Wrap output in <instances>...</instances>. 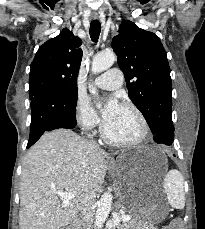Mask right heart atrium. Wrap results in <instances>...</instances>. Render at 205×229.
<instances>
[{
  "label": "right heart atrium",
  "mask_w": 205,
  "mask_h": 229,
  "mask_svg": "<svg viewBox=\"0 0 205 229\" xmlns=\"http://www.w3.org/2000/svg\"><path fill=\"white\" fill-rule=\"evenodd\" d=\"M74 115L78 125L85 130H94L100 124L99 116L84 97L76 99Z\"/></svg>",
  "instance_id": "d8ad5b80"
}]
</instances>
